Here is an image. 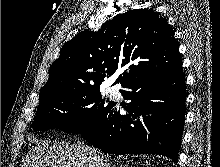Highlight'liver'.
I'll return each mask as SVG.
<instances>
[{
	"label": "liver",
	"mask_w": 220,
	"mask_h": 167,
	"mask_svg": "<svg viewBox=\"0 0 220 167\" xmlns=\"http://www.w3.org/2000/svg\"><path fill=\"white\" fill-rule=\"evenodd\" d=\"M20 167H111L109 156L84 144L36 142Z\"/></svg>",
	"instance_id": "1"
}]
</instances>
